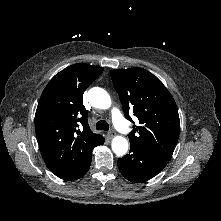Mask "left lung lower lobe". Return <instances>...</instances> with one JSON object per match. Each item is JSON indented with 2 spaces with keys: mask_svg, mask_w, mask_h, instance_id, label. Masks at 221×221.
Here are the masks:
<instances>
[{
  "mask_svg": "<svg viewBox=\"0 0 221 221\" xmlns=\"http://www.w3.org/2000/svg\"><path fill=\"white\" fill-rule=\"evenodd\" d=\"M130 145L129 154L118 159V168L121 174L131 182L139 183L153 178L170 160L143 147Z\"/></svg>",
  "mask_w": 221,
  "mask_h": 221,
  "instance_id": "obj_1",
  "label": "left lung lower lobe"
}]
</instances>
